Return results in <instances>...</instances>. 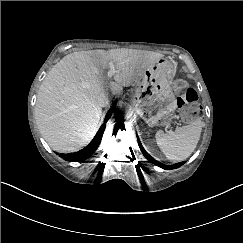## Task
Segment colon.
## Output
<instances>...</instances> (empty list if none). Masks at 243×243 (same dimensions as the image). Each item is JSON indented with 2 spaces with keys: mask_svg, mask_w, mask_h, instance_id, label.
Segmentation results:
<instances>
[{
  "mask_svg": "<svg viewBox=\"0 0 243 243\" xmlns=\"http://www.w3.org/2000/svg\"><path fill=\"white\" fill-rule=\"evenodd\" d=\"M177 97L180 114L185 122H192L199 119L202 115L198 104L196 91L184 81H177L173 86Z\"/></svg>",
  "mask_w": 243,
  "mask_h": 243,
  "instance_id": "colon-1",
  "label": "colon"
}]
</instances>
